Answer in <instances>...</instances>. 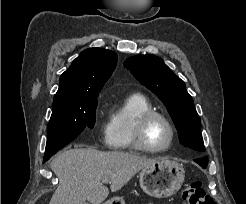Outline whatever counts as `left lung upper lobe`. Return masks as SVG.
Masks as SVG:
<instances>
[{
    "label": "left lung upper lobe",
    "instance_id": "left-lung-upper-lobe-1",
    "mask_svg": "<svg viewBox=\"0 0 246 204\" xmlns=\"http://www.w3.org/2000/svg\"><path fill=\"white\" fill-rule=\"evenodd\" d=\"M124 66L164 103L177 128L180 143L195 151L204 152L200 117L185 83L161 58L154 55L129 57Z\"/></svg>",
    "mask_w": 246,
    "mask_h": 204
}]
</instances>
